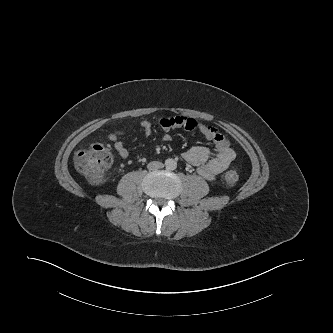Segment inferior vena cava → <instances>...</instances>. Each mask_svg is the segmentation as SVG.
Masks as SVG:
<instances>
[{
	"mask_svg": "<svg viewBox=\"0 0 333 333\" xmlns=\"http://www.w3.org/2000/svg\"><path fill=\"white\" fill-rule=\"evenodd\" d=\"M164 167V164L162 162H159V161H153V162H150L148 165H147V168L149 170H152V171H156V170H159L161 168Z\"/></svg>",
	"mask_w": 333,
	"mask_h": 333,
	"instance_id": "inferior-vena-cava-1",
	"label": "inferior vena cava"
}]
</instances>
